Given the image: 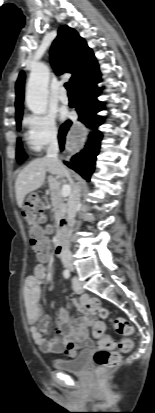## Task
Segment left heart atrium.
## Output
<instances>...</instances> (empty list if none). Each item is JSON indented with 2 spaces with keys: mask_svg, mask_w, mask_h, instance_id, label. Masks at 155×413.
I'll return each mask as SVG.
<instances>
[{
  "mask_svg": "<svg viewBox=\"0 0 155 413\" xmlns=\"http://www.w3.org/2000/svg\"><path fill=\"white\" fill-rule=\"evenodd\" d=\"M66 117H67V113H66V112H63L61 118H62V119H65Z\"/></svg>",
  "mask_w": 155,
  "mask_h": 413,
  "instance_id": "obj_1",
  "label": "left heart atrium"
}]
</instances>
